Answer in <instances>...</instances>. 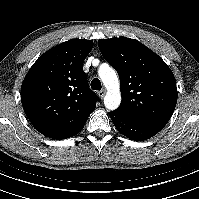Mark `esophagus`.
I'll use <instances>...</instances> for the list:
<instances>
[{"label": "esophagus", "mask_w": 199, "mask_h": 199, "mask_svg": "<svg viewBox=\"0 0 199 199\" xmlns=\"http://www.w3.org/2000/svg\"><path fill=\"white\" fill-rule=\"evenodd\" d=\"M105 94H106V90H104V89L98 92V96H99L101 99L104 98Z\"/></svg>", "instance_id": "esophagus-1"}]
</instances>
